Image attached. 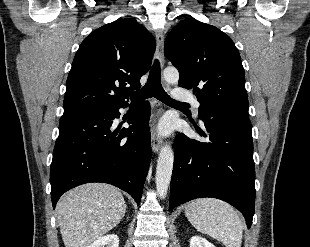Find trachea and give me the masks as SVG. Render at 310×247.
I'll list each match as a JSON object with an SVG mask.
<instances>
[{"label": "trachea", "instance_id": "obj_1", "mask_svg": "<svg viewBox=\"0 0 310 247\" xmlns=\"http://www.w3.org/2000/svg\"><path fill=\"white\" fill-rule=\"evenodd\" d=\"M154 96L156 99L169 105H187L173 100L163 89L161 84V71L158 60H155L151 67L147 83L140 90L131 94V102L134 104L141 103L147 98Z\"/></svg>", "mask_w": 310, "mask_h": 247}]
</instances>
